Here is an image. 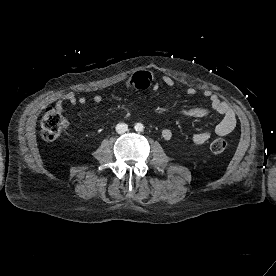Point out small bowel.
Masks as SVG:
<instances>
[{
	"label": "small bowel",
	"instance_id": "obj_1",
	"mask_svg": "<svg viewBox=\"0 0 276 276\" xmlns=\"http://www.w3.org/2000/svg\"><path fill=\"white\" fill-rule=\"evenodd\" d=\"M161 81L168 87L175 86V81L170 76H162ZM127 86L131 89L145 90L150 87L157 86V82L154 74L151 71L140 70L128 80ZM185 92L188 96H194L198 93V90L195 87H188ZM203 96L209 99L211 108L223 117L222 120L216 125L215 133L219 136H226L231 133L236 127V115L233 108L210 90L203 91ZM93 101L95 103H100L102 101V97L100 95H95L93 97ZM86 102L87 100L85 97H78L73 92H67L57 99L55 108L62 112L64 110L65 103H69L75 106L83 105ZM209 113L210 112L208 109L201 107L181 110V114L188 118H203L208 116ZM162 137L165 140H171L173 133L170 129H164L162 131ZM209 138L210 134L208 132H199L193 135L192 141L195 144H203L207 142Z\"/></svg>",
	"mask_w": 276,
	"mask_h": 276
}]
</instances>
